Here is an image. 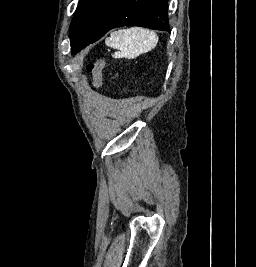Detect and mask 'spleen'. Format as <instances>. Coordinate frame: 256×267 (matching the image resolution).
Listing matches in <instances>:
<instances>
[{"mask_svg":"<svg viewBox=\"0 0 256 267\" xmlns=\"http://www.w3.org/2000/svg\"><path fill=\"white\" fill-rule=\"evenodd\" d=\"M158 36L153 30L147 28H128V30H118L111 32L110 38H106L105 44L109 48H116L115 56L119 58H138L140 54L150 52L158 44Z\"/></svg>","mask_w":256,"mask_h":267,"instance_id":"spleen-1","label":"spleen"}]
</instances>
